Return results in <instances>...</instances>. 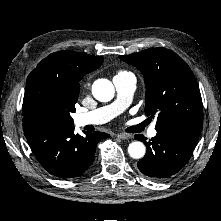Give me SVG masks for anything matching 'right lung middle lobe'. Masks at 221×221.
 I'll return each instance as SVG.
<instances>
[{
	"label": "right lung middle lobe",
	"mask_w": 221,
	"mask_h": 221,
	"mask_svg": "<svg viewBox=\"0 0 221 221\" xmlns=\"http://www.w3.org/2000/svg\"><path fill=\"white\" fill-rule=\"evenodd\" d=\"M75 103L63 100L45 82L38 81L25 89L23 99V123L47 122L72 126L70 116L75 111Z\"/></svg>",
	"instance_id": "right-lung-middle-lobe-1"
}]
</instances>
